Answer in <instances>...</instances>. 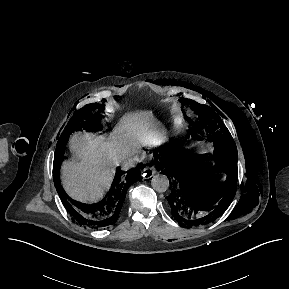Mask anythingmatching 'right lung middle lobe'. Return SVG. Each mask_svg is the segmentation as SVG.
<instances>
[{
	"mask_svg": "<svg viewBox=\"0 0 289 289\" xmlns=\"http://www.w3.org/2000/svg\"><path fill=\"white\" fill-rule=\"evenodd\" d=\"M101 104H90L86 105L70 118L68 124L64 128L59 140L62 143H67L69 135L74 130H88L96 131L99 129L101 124V116L95 115V112H101ZM58 140V143L60 142Z\"/></svg>",
	"mask_w": 289,
	"mask_h": 289,
	"instance_id": "1",
	"label": "right lung middle lobe"
}]
</instances>
